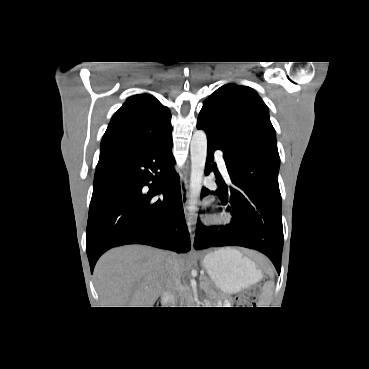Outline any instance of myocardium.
Instances as JSON below:
<instances>
[{
	"mask_svg": "<svg viewBox=\"0 0 369 369\" xmlns=\"http://www.w3.org/2000/svg\"><path fill=\"white\" fill-rule=\"evenodd\" d=\"M231 216L225 211H216L209 217V221L214 225H225L229 223Z\"/></svg>",
	"mask_w": 369,
	"mask_h": 369,
	"instance_id": "myocardium-1",
	"label": "myocardium"
}]
</instances>
